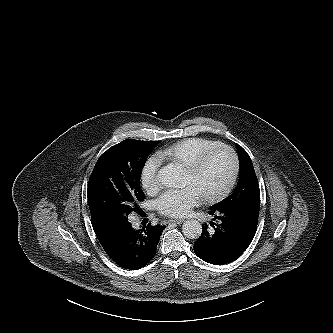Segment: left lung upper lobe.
Wrapping results in <instances>:
<instances>
[{"label": "left lung upper lobe", "instance_id": "left-lung-upper-lobe-1", "mask_svg": "<svg viewBox=\"0 0 333 333\" xmlns=\"http://www.w3.org/2000/svg\"><path fill=\"white\" fill-rule=\"evenodd\" d=\"M237 149L240 167L237 186L232 194L213 205L211 210L254 211L260 208V189L251 158L240 145Z\"/></svg>", "mask_w": 333, "mask_h": 333}]
</instances>
